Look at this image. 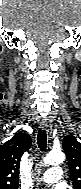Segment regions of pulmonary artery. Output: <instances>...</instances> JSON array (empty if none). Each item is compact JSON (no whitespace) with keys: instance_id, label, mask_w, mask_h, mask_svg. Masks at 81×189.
Wrapping results in <instances>:
<instances>
[{"instance_id":"1","label":"pulmonary artery","mask_w":81,"mask_h":189,"mask_svg":"<svg viewBox=\"0 0 81 189\" xmlns=\"http://www.w3.org/2000/svg\"><path fill=\"white\" fill-rule=\"evenodd\" d=\"M61 177V168L53 167L44 172V174L39 178V181L46 184L56 183L61 179Z\"/></svg>"}]
</instances>
